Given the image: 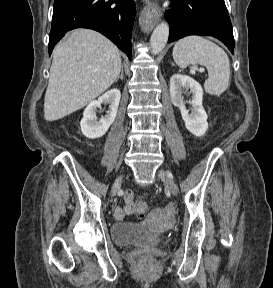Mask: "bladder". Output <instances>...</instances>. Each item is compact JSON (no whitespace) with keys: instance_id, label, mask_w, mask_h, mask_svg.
<instances>
[{"instance_id":"obj_1","label":"bladder","mask_w":273,"mask_h":288,"mask_svg":"<svg viewBox=\"0 0 273 288\" xmlns=\"http://www.w3.org/2000/svg\"><path fill=\"white\" fill-rule=\"evenodd\" d=\"M112 241L117 246L134 244L156 245L164 241L165 236L140 224L117 223L111 228Z\"/></svg>"}]
</instances>
